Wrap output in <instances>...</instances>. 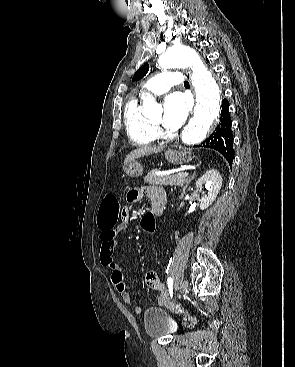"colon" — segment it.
Segmentation results:
<instances>
[{"instance_id":"1","label":"colon","mask_w":295,"mask_h":367,"mask_svg":"<svg viewBox=\"0 0 295 367\" xmlns=\"http://www.w3.org/2000/svg\"><path fill=\"white\" fill-rule=\"evenodd\" d=\"M121 209L119 200L114 195L106 196L100 207L98 223L106 227L115 225L121 217ZM139 229L146 231L147 235H154V219L150 215H146L142 219Z\"/></svg>"}]
</instances>
